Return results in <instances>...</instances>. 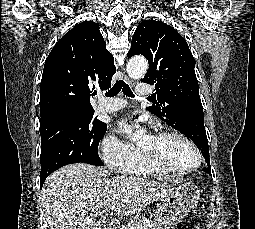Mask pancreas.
<instances>
[{"instance_id":"1","label":"pancreas","mask_w":255,"mask_h":229,"mask_svg":"<svg viewBox=\"0 0 255 229\" xmlns=\"http://www.w3.org/2000/svg\"><path fill=\"white\" fill-rule=\"evenodd\" d=\"M146 224H150L151 227L150 229H163L159 224H157L155 221L152 220H146V221H139V222H134V226H144ZM122 229H130L129 226H124Z\"/></svg>"}]
</instances>
